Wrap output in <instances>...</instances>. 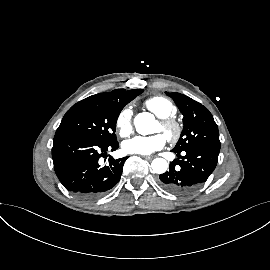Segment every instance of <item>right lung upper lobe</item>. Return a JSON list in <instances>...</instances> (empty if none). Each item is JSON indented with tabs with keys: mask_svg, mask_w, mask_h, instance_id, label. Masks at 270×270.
Here are the masks:
<instances>
[{
	"mask_svg": "<svg viewBox=\"0 0 270 270\" xmlns=\"http://www.w3.org/2000/svg\"><path fill=\"white\" fill-rule=\"evenodd\" d=\"M141 91L142 89H134V90L116 89L113 90L112 92L100 93L96 94L95 96L108 98L125 106L135 97H137L140 93H142Z\"/></svg>",
	"mask_w": 270,
	"mask_h": 270,
	"instance_id": "1",
	"label": "right lung upper lobe"
}]
</instances>
